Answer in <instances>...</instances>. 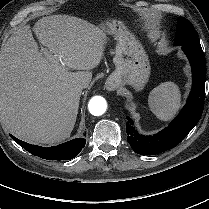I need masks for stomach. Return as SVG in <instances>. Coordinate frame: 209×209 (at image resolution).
<instances>
[{
	"instance_id": "obj_1",
	"label": "stomach",
	"mask_w": 209,
	"mask_h": 209,
	"mask_svg": "<svg viewBox=\"0 0 209 209\" xmlns=\"http://www.w3.org/2000/svg\"><path fill=\"white\" fill-rule=\"evenodd\" d=\"M109 34L117 40L113 62L115 71L107 79V87L132 86L140 91L146 85L150 76V63L142 44L131 34L125 25L118 20L104 23Z\"/></svg>"
}]
</instances>
